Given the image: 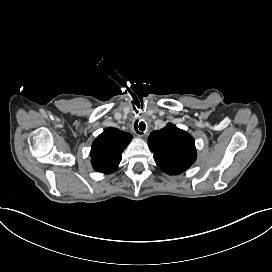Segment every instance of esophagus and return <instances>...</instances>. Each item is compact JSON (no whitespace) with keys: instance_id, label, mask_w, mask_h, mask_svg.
Masks as SVG:
<instances>
[{"instance_id":"34e87169","label":"esophagus","mask_w":272,"mask_h":272,"mask_svg":"<svg viewBox=\"0 0 272 272\" xmlns=\"http://www.w3.org/2000/svg\"><path fill=\"white\" fill-rule=\"evenodd\" d=\"M136 130V129H135ZM136 133H137V135L138 136H140V137H142L143 136V134H139L137 131H136Z\"/></svg>"}]
</instances>
